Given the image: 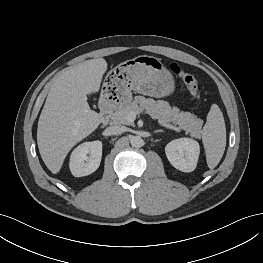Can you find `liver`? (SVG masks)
I'll return each instance as SVG.
<instances>
[{"label": "liver", "mask_w": 263, "mask_h": 263, "mask_svg": "<svg viewBox=\"0 0 263 263\" xmlns=\"http://www.w3.org/2000/svg\"><path fill=\"white\" fill-rule=\"evenodd\" d=\"M107 70L103 58L69 67L53 82L38 121L37 144L47 168L56 174L71 148L95 131L100 115L91 110L87 95L100 89Z\"/></svg>", "instance_id": "1"}]
</instances>
